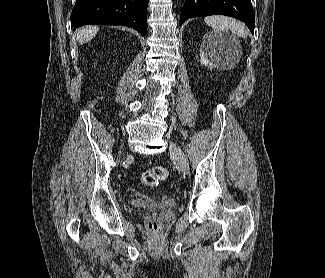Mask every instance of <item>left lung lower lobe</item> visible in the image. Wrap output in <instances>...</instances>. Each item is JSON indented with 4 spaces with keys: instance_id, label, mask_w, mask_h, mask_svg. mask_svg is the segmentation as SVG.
Returning <instances> with one entry per match:
<instances>
[{
    "instance_id": "obj_1",
    "label": "left lung lower lobe",
    "mask_w": 325,
    "mask_h": 278,
    "mask_svg": "<svg viewBox=\"0 0 325 278\" xmlns=\"http://www.w3.org/2000/svg\"><path fill=\"white\" fill-rule=\"evenodd\" d=\"M215 14L242 20L254 34L255 14L251 0H185L180 15V26L188 18Z\"/></svg>"
}]
</instances>
